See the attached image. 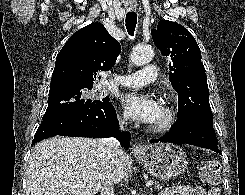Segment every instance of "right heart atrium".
Returning <instances> with one entry per match:
<instances>
[{"label":"right heart atrium","mask_w":245,"mask_h":195,"mask_svg":"<svg viewBox=\"0 0 245 195\" xmlns=\"http://www.w3.org/2000/svg\"><path fill=\"white\" fill-rule=\"evenodd\" d=\"M129 120V116L126 113H122V115L119 118V121L122 125L126 124Z\"/></svg>","instance_id":"1"}]
</instances>
